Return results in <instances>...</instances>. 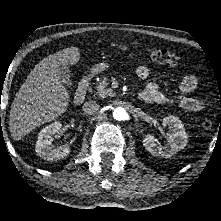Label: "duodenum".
I'll use <instances>...</instances> for the list:
<instances>
[{
	"label": "duodenum",
	"instance_id": "410a0bca",
	"mask_svg": "<svg viewBox=\"0 0 221 221\" xmlns=\"http://www.w3.org/2000/svg\"><path fill=\"white\" fill-rule=\"evenodd\" d=\"M91 79H92L91 75H86L79 82L78 88H77L75 95H74V103L76 105H80L84 102L87 92H88V88H89Z\"/></svg>",
	"mask_w": 221,
	"mask_h": 221
}]
</instances>
